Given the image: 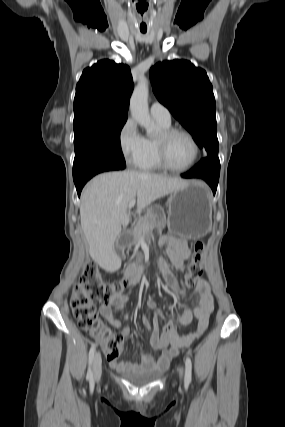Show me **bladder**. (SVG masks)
<instances>
[{"label": "bladder", "instance_id": "bladder-1", "mask_svg": "<svg viewBox=\"0 0 285 427\" xmlns=\"http://www.w3.org/2000/svg\"><path fill=\"white\" fill-rule=\"evenodd\" d=\"M161 371H154L150 373H141L136 374L133 372H124L125 377L130 380L132 383L137 385L149 384L161 376Z\"/></svg>", "mask_w": 285, "mask_h": 427}]
</instances>
